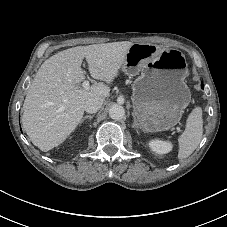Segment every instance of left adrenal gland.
I'll use <instances>...</instances> for the list:
<instances>
[{
  "instance_id": "left-adrenal-gland-1",
  "label": "left adrenal gland",
  "mask_w": 227,
  "mask_h": 227,
  "mask_svg": "<svg viewBox=\"0 0 227 227\" xmlns=\"http://www.w3.org/2000/svg\"><path fill=\"white\" fill-rule=\"evenodd\" d=\"M132 115H133V119H134L133 128H135V129H137V130H138V123H137V121H136L135 114H134V113H132Z\"/></svg>"
}]
</instances>
